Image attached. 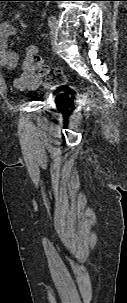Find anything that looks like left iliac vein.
I'll return each instance as SVG.
<instances>
[{
	"mask_svg": "<svg viewBox=\"0 0 127 303\" xmlns=\"http://www.w3.org/2000/svg\"><path fill=\"white\" fill-rule=\"evenodd\" d=\"M57 31H58V27L55 24L50 30V38L52 42H54L57 39Z\"/></svg>",
	"mask_w": 127,
	"mask_h": 303,
	"instance_id": "1",
	"label": "left iliac vein"
}]
</instances>
